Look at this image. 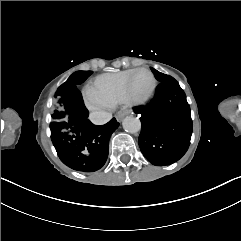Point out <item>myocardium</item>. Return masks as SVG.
Instances as JSON below:
<instances>
[{
	"label": "myocardium",
	"instance_id": "obj_1",
	"mask_svg": "<svg viewBox=\"0 0 241 241\" xmlns=\"http://www.w3.org/2000/svg\"><path fill=\"white\" fill-rule=\"evenodd\" d=\"M143 71L148 72V74H150V76H152L151 86H152V89H156L157 75H155V71H153V69H150V67H147V66H142V69L135 70L134 72L131 73V75H128V78H126V85H128V83H130L131 80H133V78H136L137 76H140V74H143ZM126 94L127 95L131 94L130 92H128L127 88H126Z\"/></svg>",
	"mask_w": 241,
	"mask_h": 241
}]
</instances>
